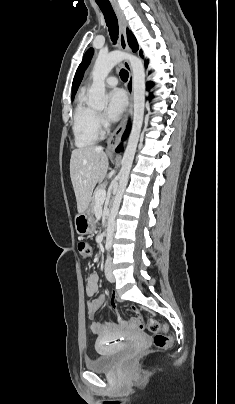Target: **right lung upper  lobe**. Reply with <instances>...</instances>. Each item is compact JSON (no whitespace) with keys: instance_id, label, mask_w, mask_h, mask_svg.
<instances>
[{"instance_id":"cb5924a9","label":"right lung upper lobe","mask_w":235,"mask_h":404,"mask_svg":"<svg viewBox=\"0 0 235 404\" xmlns=\"http://www.w3.org/2000/svg\"><path fill=\"white\" fill-rule=\"evenodd\" d=\"M127 37H128V43H129V45H131V43H130V34H129L128 30H127ZM81 80H82V77L80 78V80L78 81V83L76 84V86H75V88L73 90L72 99L74 98V95H75V93H76V91L78 89V86H79Z\"/></svg>"}]
</instances>
